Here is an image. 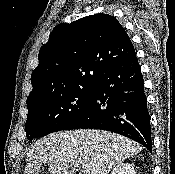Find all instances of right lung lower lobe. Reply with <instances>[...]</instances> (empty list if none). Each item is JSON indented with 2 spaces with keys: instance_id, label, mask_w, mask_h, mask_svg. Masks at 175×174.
Wrapping results in <instances>:
<instances>
[{
  "instance_id": "obj_1",
  "label": "right lung lower lobe",
  "mask_w": 175,
  "mask_h": 174,
  "mask_svg": "<svg viewBox=\"0 0 175 174\" xmlns=\"http://www.w3.org/2000/svg\"><path fill=\"white\" fill-rule=\"evenodd\" d=\"M79 128L115 132L152 152L150 116L136 54L110 68L95 83L85 110L63 130Z\"/></svg>"
}]
</instances>
